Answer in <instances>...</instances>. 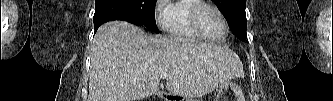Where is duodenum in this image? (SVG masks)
I'll return each mask as SVG.
<instances>
[{
    "label": "duodenum",
    "instance_id": "duodenum-1",
    "mask_svg": "<svg viewBox=\"0 0 333 101\" xmlns=\"http://www.w3.org/2000/svg\"><path fill=\"white\" fill-rule=\"evenodd\" d=\"M161 97H162L163 99H165V100H169V99H171V97H169V96H163V95H161Z\"/></svg>",
    "mask_w": 333,
    "mask_h": 101
}]
</instances>
